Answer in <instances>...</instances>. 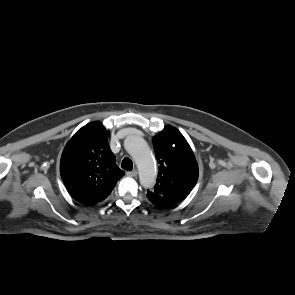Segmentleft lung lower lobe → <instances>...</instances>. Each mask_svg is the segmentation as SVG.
<instances>
[{
    "mask_svg": "<svg viewBox=\"0 0 295 295\" xmlns=\"http://www.w3.org/2000/svg\"><path fill=\"white\" fill-rule=\"evenodd\" d=\"M147 197L155 206L160 208H169L178 204V202L164 198L163 196L153 193L151 191H148Z\"/></svg>",
    "mask_w": 295,
    "mask_h": 295,
    "instance_id": "left-lung-lower-lobe-1",
    "label": "left lung lower lobe"
}]
</instances>
